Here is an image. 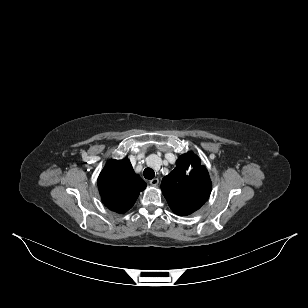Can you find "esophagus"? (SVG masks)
I'll return each instance as SVG.
<instances>
[{
    "label": "esophagus",
    "instance_id": "34e87169",
    "mask_svg": "<svg viewBox=\"0 0 308 308\" xmlns=\"http://www.w3.org/2000/svg\"><path fill=\"white\" fill-rule=\"evenodd\" d=\"M150 184L152 186H157L159 184V179L158 178H154V179L150 180Z\"/></svg>",
    "mask_w": 308,
    "mask_h": 308
}]
</instances>
